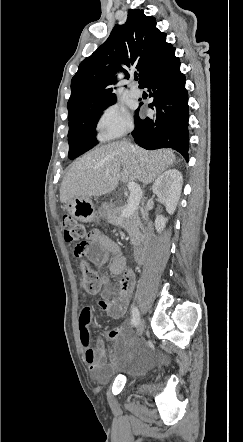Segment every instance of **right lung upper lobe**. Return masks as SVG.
<instances>
[{
    "label": "right lung upper lobe",
    "mask_w": 243,
    "mask_h": 442,
    "mask_svg": "<svg viewBox=\"0 0 243 442\" xmlns=\"http://www.w3.org/2000/svg\"><path fill=\"white\" fill-rule=\"evenodd\" d=\"M166 42V33L156 28L155 18L143 10H129L125 24L116 25L107 40L79 65L72 78L68 111L71 120L116 98V74L135 65L139 83L174 50Z\"/></svg>",
    "instance_id": "obj_1"
}]
</instances>
